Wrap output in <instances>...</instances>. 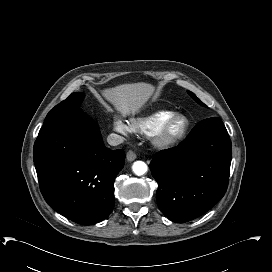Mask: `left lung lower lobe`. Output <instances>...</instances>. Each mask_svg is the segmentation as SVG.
<instances>
[{
  "label": "left lung lower lobe",
  "instance_id": "0a47b994",
  "mask_svg": "<svg viewBox=\"0 0 272 272\" xmlns=\"http://www.w3.org/2000/svg\"><path fill=\"white\" fill-rule=\"evenodd\" d=\"M231 156V140L218 117L198 123L178 147L158 152L149 167L163 214L184 223L211 209L227 190Z\"/></svg>",
  "mask_w": 272,
  "mask_h": 272
}]
</instances>
